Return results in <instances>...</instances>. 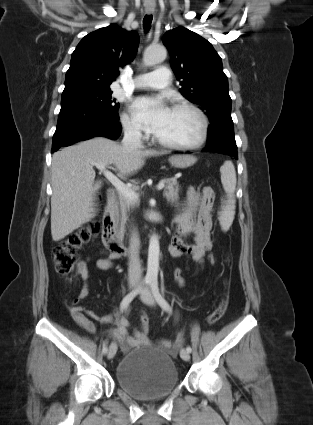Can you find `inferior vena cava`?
Listing matches in <instances>:
<instances>
[{
    "instance_id": "1",
    "label": "inferior vena cava",
    "mask_w": 313,
    "mask_h": 425,
    "mask_svg": "<svg viewBox=\"0 0 313 425\" xmlns=\"http://www.w3.org/2000/svg\"><path fill=\"white\" fill-rule=\"evenodd\" d=\"M122 146L128 151L137 150L142 147L141 134L131 125L124 127ZM139 246L140 241L138 232L134 230L131 234L129 243L128 280L131 283L140 282L142 280Z\"/></svg>"
}]
</instances>
